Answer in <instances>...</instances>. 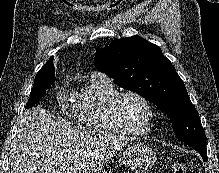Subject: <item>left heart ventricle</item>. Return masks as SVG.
I'll use <instances>...</instances> for the list:
<instances>
[{
	"label": "left heart ventricle",
	"mask_w": 219,
	"mask_h": 173,
	"mask_svg": "<svg viewBox=\"0 0 219 173\" xmlns=\"http://www.w3.org/2000/svg\"><path fill=\"white\" fill-rule=\"evenodd\" d=\"M122 124L129 130L141 131L145 129L149 113L144 103L135 97L123 99L119 109Z\"/></svg>",
	"instance_id": "left-heart-ventricle-1"
}]
</instances>
